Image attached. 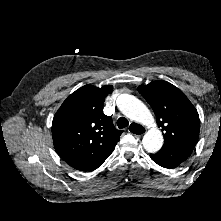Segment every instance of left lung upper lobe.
I'll list each match as a JSON object with an SVG mask.
<instances>
[{
	"label": "left lung upper lobe",
	"instance_id": "1",
	"mask_svg": "<svg viewBox=\"0 0 221 221\" xmlns=\"http://www.w3.org/2000/svg\"><path fill=\"white\" fill-rule=\"evenodd\" d=\"M138 92L152 107L157 125L164 132L163 146L197 142L199 115L180 89L168 82L153 81L148 85L139 86Z\"/></svg>",
	"mask_w": 221,
	"mask_h": 221
}]
</instances>
